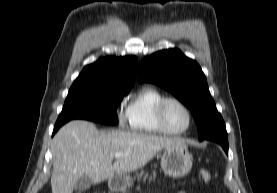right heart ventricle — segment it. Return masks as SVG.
<instances>
[{
    "mask_svg": "<svg viewBox=\"0 0 277 193\" xmlns=\"http://www.w3.org/2000/svg\"><path fill=\"white\" fill-rule=\"evenodd\" d=\"M166 96L157 88L145 86L128 102L126 117L130 128L142 134H163L157 123L156 111Z\"/></svg>",
    "mask_w": 277,
    "mask_h": 193,
    "instance_id": "e07e8e85",
    "label": "right heart ventricle"
}]
</instances>
